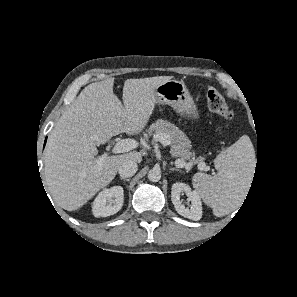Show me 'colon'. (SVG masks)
<instances>
[{
  "instance_id": "5ec220e1",
  "label": "colon",
  "mask_w": 297,
  "mask_h": 297,
  "mask_svg": "<svg viewBox=\"0 0 297 297\" xmlns=\"http://www.w3.org/2000/svg\"><path fill=\"white\" fill-rule=\"evenodd\" d=\"M207 105L210 111L215 113L220 119L228 120L233 117V111L215 89L208 90Z\"/></svg>"
}]
</instances>
